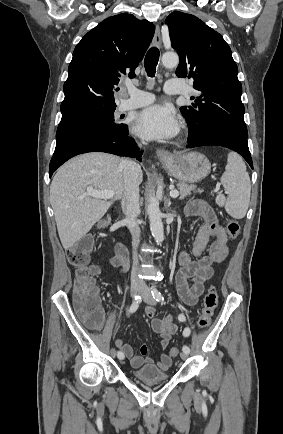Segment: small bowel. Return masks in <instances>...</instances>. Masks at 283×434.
<instances>
[{"instance_id":"small-bowel-1","label":"small bowel","mask_w":283,"mask_h":434,"mask_svg":"<svg viewBox=\"0 0 283 434\" xmlns=\"http://www.w3.org/2000/svg\"><path fill=\"white\" fill-rule=\"evenodd\" d=\"M185 213L188 216H198L202 219L192 248V254L197 260H193L186 251H179L177 254L180 269L175 275L176 290L181 300L193 307L204 293L205 282L213 275V266L224 262L227 258L229 247L226 232L206 200L203 198L194 199L186 206ZM207 248L208 253L204 254ZM108 263L125 272L128 268L126 249L122 245H117L115 255L109 259ZM101 270L102 265L100 264L91 267V272L95 275L99 274ZM144 313L151 320L152 329L160 335L161 347L167 348L172 335L177 331V325L172 317L155 318V308L151 306L147 307ZM114 343L124 354V357L129 359L133 368H139L143 364H154L153 359L146 356L147 347L145 345L140 347L139 354H135L133 348L123 339L116 338ZM171 363L170 354L162 353L156 366L165 371L168 370Z\"/></svg>"}]
</instances>
